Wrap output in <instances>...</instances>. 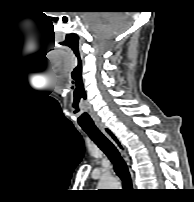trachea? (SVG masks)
I'll return each instance as SVG.
<instances>
[{
    "mask_svg": "<svg viewBox=\"0 0 194 202\" xmlns=\"http://www.w3.org/2000/svg\"><path fill=\"white\" fill-rule=\"evenodd\" d=\"M81 127L110 159L124 187L131 188L132 182L128 167L114 144L95 125H81Z\"/></svg>",
    "mask_w": 194,
    "mask_h": 202,
    "instance_id": "1",
    "label": "trachea"
}]
</instances>
